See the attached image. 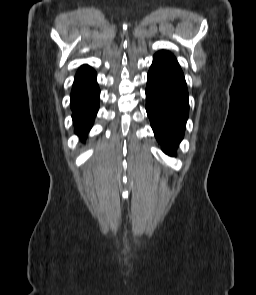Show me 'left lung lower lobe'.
Segmentation results:
<instances>
[{"mask_svg":"<svg viewBox=\"0 0 256 295\" xmlns=\"http://www.w3.org/2000/svg\"><path fill=\"white\" fill-rule=\"evenodd\" d=\"M146 111L162 150L174 156L189 114L187 86L179 67L153 60L146 86Z\"/></svg>","mask_w":256,"mask_h":295,"instance_id":"0a47b994","label":"left lung lower lobe"}]
</instances>
